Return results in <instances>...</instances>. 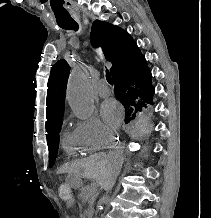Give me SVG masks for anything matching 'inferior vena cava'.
<instances>
[{"instance_id": "inferior-vena-cava-1", "label": "inferior vena cava", "mask_w": 211, "mask_h": 218, "mask_svg": "<svg viewBox=\"0 0 211 218\" xmlns=\"http://www.w3.org/2000/svg\"><path fill=\"white\" fill-rule=\"evenodd\" d=\"M116 156V154H119V152H111V154H109V156ZM120 160H117V162H113V172H111L107 182H103V184H101L102 188H104L105 192H107V194H109L110 190H112L114 184H115V180L119 174V170H120Z\"/></svg>"}]
</instances>
